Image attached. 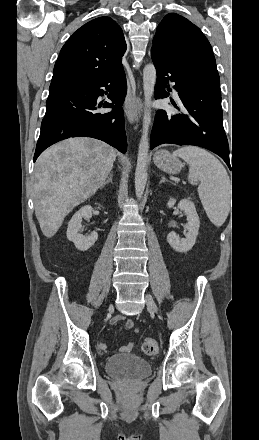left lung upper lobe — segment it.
Here are the masks:
<instances>
[{
    "label": "left lung upper lobe",
    "instance_id": "left-lung-upper-lobe-1",
    "mask_svg": "<svg viewBox=\"0 0 259 440\" xmlns=\"http://www.w3.org/2000/svg\"><path fill=\"white\" fill-rule=\"evenodd\" d=\"M151 52L182 71H203L219 78L211 45L201 30L188 19L167 14L158 25Z\"/></svg>",
    "mask_w": 259,
    "mask_h": 440
}]
</instances>
